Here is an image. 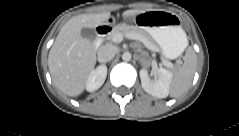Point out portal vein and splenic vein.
Here are the masks:
<instances>
[{
    "instance_id": "1",
    "label": "portal vein and splenic vein",
    "mask_w": 239,
    "mask_h": 136,
    "mask_svg": "<svg viewBox=\"0 0 239 136\" xmlns=\"http://www.w3.org/2000/svg\"><path fill=\"white\" fill-rule=\"evenodd\" d=\"M125 37L129 38V39H134V40H139L141 41L148 49L153 50L150 45L148 44V42L140 35H134V34H127ZM123 40V36L121 34H116L113 36L112 41L115 43H120ZM165 66L167 67H172V64L170 62H163Z\"/></svg>"
}]
</instances>
